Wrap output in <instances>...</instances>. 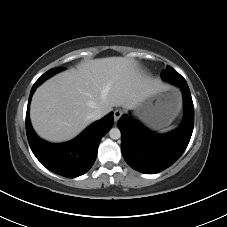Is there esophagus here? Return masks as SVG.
Returning <instances> with one entry per match:
<instances>
[{
    "mask_svg": "<svg viewBox=\"0 0 227 227\" xmlns=\"http://www.w3.org/2000/svg\"><path fill=\"white\" fill-rule=\"evenodd\" d=\"M123 111L121 109H116L114 111V121L117 122L119 118L122 116Z\"/></svg>",
    "mask_w": 227,
    "mask_h": 227,
    "instance_id": "34e87169",
    "label": "esophagus"
}]
</instances>
